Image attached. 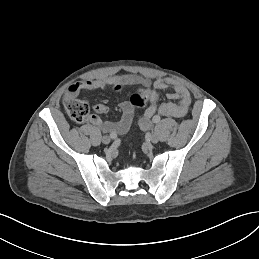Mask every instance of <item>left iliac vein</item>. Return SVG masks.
I'll return each mask as SVG.
<instances>
[{
  "label": "left iliac vein",
  "instance_id": "4c4485c4",
  "mask_svg": "<svg viewBox=\"0 0 259 259\" xmlns=\"http://www.w3.org/2000/svg\"><path fill=\"white\" fill-rule=\"evenodd\" d=\"M150 140L152 143H157L159 141V137L157 134H152L151 137H150Z\"/></svg>",
  "mask_w": 259,
  "mask_h": 259
}]
</instances>
